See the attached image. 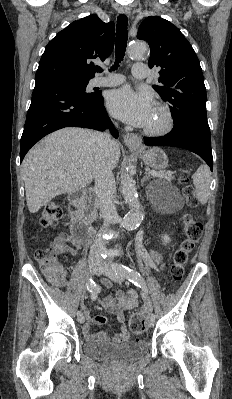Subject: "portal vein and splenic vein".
I'll return each mask as SVG.
<instances>
[{
  "label": "portal vein and splenic vein",
  "mask_w": 232,
  "mask_h": 399,
  "mask_svg": "<svg viewBox=\"0 0 232 399\" xmlns=\"http://www.w3.org/2000/svg\"><path fill=\"white\" fill-rule=\"evenodd\" d=\"M146 172H148V174H151V176H157L156 172H151L149 168H147Z\"/></svg>",
  "instance_id": "18ae733b"
}]
</instances>
